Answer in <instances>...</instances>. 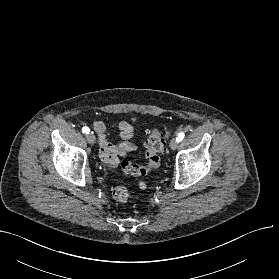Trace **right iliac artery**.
Instances as JSON below:
<instances>
[{"label":"right iliac artery","instance_id":"right-iliac-artery-1","mask_svg":"<svg viewBox=\"0 0 279 279\" xmlns=\"http://www.w3.org/2000/svg\"><path fill=\"white\" fill-rule=\"evenodd\" d=\"M90 131V129L88 127H83L82 128V132L85 133V134H88Z\"/></svg>","mask_w":279,"mask_h":279}]
</instances>
